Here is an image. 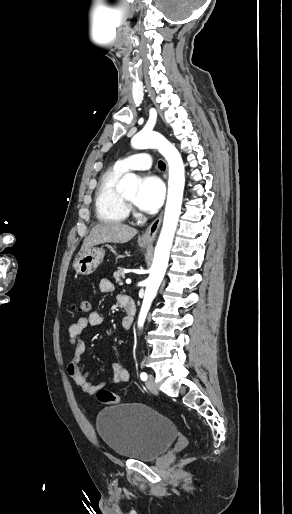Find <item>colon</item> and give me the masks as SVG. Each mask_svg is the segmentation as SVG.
I'll use <instances>...</instances> for the list:
<instances>
[{
    "label": "colon",
    "mask_w": 292,
    "mask_h": 514,
    "mask_svg": "<svg viewBox=\"0 0 292 514\" xmlns=\"http://www.w3.org/2000/svg\"><path fill=\"white\" fill-rule=\"evenodd\" d=\"M73 310L79 314H87L90 311V302L87 299H81L73 304ZM97 399L101 403L117 405L120 403V397L109 389H100L96 393Z\"/></svg>",
    "instance_id": "1"
}]
</instances>
